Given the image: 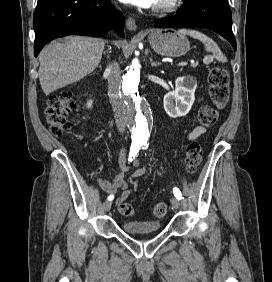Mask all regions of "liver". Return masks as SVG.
Returning <instances> with one entry per match:
<instances>
[{
    "label": "liver",
    "mask_w": 272,
    "mask_h": 282,
    "mask_svg": "<svg viewBox=\"0 0 272 282\" xmlns=\"http://www.w3.org/2000/svg\"><path fill=\"white\" fill-rule=\"evenodd\" d=\"M104 45L103 39L72 36L45 46L39 54V81L45 95L92 73Z\"/></svg>",
    "instance_id": "1"
}]
</instances>
